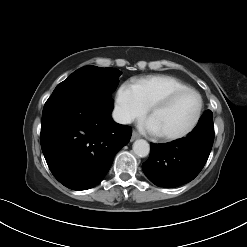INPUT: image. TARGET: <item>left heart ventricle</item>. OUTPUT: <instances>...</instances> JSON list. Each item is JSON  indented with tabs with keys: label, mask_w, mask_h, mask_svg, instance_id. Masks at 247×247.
<instances>
[{
	"label": "left heart ventricle",
	"mask_w": 247,
	"mask_h": 247,
	"mask_svg": "<svg viewBox=\"0 0 247 247\" xmlns=\"http://www.w3.org/2000/svg\"><path fill=\"white\" fill-rule=\"evenodd\" d=\"M199 107V99L194 93H185L172 103L155 111L150 119L161 135H175L187 129L193 122Z\"/></svg>",
	"instance_id": "left-heart-ventricle-1"
}]
</instances>
